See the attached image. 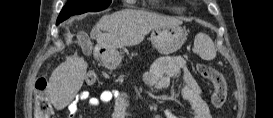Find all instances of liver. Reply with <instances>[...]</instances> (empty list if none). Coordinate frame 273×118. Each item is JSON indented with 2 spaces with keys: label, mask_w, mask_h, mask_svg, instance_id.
<instances>
[{
  "label": "liver",
  "mask_w": 273,
  "mask_h": 118,
  "mask_svg": "<svg viewBox=\"0 0 273 118\" xmlns=\"http://www.w3.org/2000/svg\"><path fill=\"white\" fill-rule=\"evenodd\" d=\"M182 21L155 13L126 9L103 16L93 27L90 38L96 39L97 47L115 52L118 48L140 44L154 28L164 25H180ZM106 31L102 33L101 31ZM73 35L67 32L69 45ZM88 64L76 54L67 56L51 74L48 95L53 106L62 110L73 101L83 85Z\"/></svg>",
  "instance_id": "obj_1"
}]
</instances>
